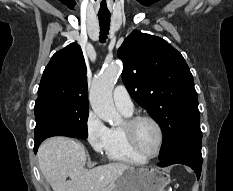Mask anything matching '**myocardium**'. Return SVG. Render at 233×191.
Masks as SVG:
<instances>
[{"mask_svg": "<svg viewBox=\"0 0 233 191\" xmlns=\"http://www.w3.org/2000/svg\"><path fill=\"white\" fill-rule=\"evenodd\" d=\"M144 120L150 121L152 124H154V126L156 127V129L158 131V136H159L157 151L154 155H151V156L146 155L141 151V149L138 146L137 140H136L137 125L141 121H144ZM123 131H124L126 139L129 143L130 147L132 148V150L137 155L142 157L143 159L152 160V159H155L156 157H158L159 154L161 153V150L163 147V142H164V132H163L162 126L154 117H152L150 115H146V114L133 116V117L129 118L128 120H126V122L123 125Z\"/></svg>", "mask_w": 233, "mask_h": 191, "instance_id": "obj_1", "label": "myocardium"}]
</instances>
